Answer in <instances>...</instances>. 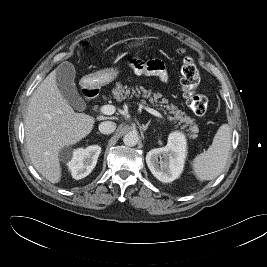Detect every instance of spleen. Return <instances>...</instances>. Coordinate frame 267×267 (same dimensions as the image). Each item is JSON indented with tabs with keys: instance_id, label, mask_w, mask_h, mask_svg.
<instances>
[{
	"instance_id": "obj_1",
	"label": "spleen",
	"mask_w": 267,
	"mask_h": 267,
	"mask_svg": "<svg viewBox=\"0 0 267 267\" xmlns=\"http://www.w3.org/2000/svg\"><path fill=\"white\" fill-rule=\"evenodd\" d=\"M231 147V130L223 124L217 130L212 145L192 161V167L197 179L201 182L213 180L224 169Z\"/></svg>"
}]
</instances>
